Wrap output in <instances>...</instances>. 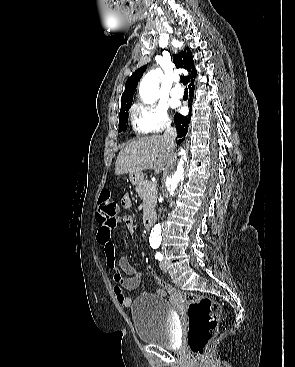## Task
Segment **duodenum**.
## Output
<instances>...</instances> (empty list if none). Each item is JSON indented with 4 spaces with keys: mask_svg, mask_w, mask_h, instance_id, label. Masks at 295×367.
Masks as SVG:
<instances>
[{
    "mask_svg": "<svg viewBox=\"0 0 295 367\" xmlns=\"http://www.w3.org/2000/svg\"><path fill=\"white\" fill-rule=\"evenodd\" d=\"M154 216L152 214H147L143 218V225L146 229H150L154 223Z\"/></svg>",
    "mask_w": 295,
    "mask_h": 367,
    "instance_id": "obj_1",
    "label": "duodenum"
}]
</instances>
